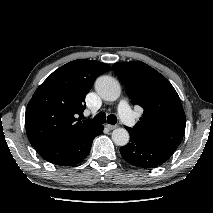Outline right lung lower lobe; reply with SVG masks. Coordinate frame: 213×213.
Here are the masks:
<instances>
[{
    "label": "right lung lower lobe",
    "mask_w": 213,
    "mask_h": 213,
    "mask_svg": "<svg viewBox=\"0 0 213 213\" xmlns=\"http://www.w3.org/2000/svg\"><path fill=\"white\" fill-rule=\"evenodd\" d=\"M104 127L98 124L92 130L77 139L58 145H37L35 150L47 161L59 166H73L84 160L96 136L103 132Z\"/></svg>",
    "instance_id": "right-lung-lower-lobe-1"
}]
</instances>
